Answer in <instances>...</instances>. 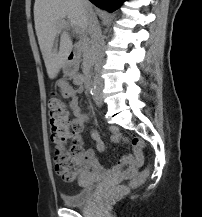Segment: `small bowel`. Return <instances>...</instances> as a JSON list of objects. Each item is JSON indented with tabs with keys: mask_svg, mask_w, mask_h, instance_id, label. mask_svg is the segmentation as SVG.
<instances>
[{
	"mask_svg": "<svg viewBox=\"0 0 202 217\" xmlns=\"http://www.w3.org/2000/svg\"><path fill=\"white\" fill-rule=\"evenodd\" d=\"M73 83L78 86V89L72 87L67 81L60 80L57 82V88L64 97L70 98L69 108L73 112L74 117L68 120L67 137H72L82 142L80 133L85 127L87 115L81 110L78 101V93L82 90L83 77L75 75ZM91 137L96 141V148L102 152L105 149L103 141L100 139L98 132L92 130ZM111 140L113 143L128 144V139L122 136L116 128L111 129ZM144 156L141 148H134V154H126L121 160L113 166L111 173L118 179H129L134 177L138 168L143 165ZM80 170L83 173L94 172L96 174H104L105 169L97 160L92 149H86L79 156Z\"/></svg>",
	"mask_w": 202,
	"mask_h": 217,
	"instance_id": "1",
	"label": "small bowel"
}]
</instances>
